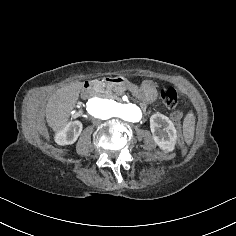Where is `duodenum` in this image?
<instances>
[{"instance_id":"duodenum-1","label":"duodenum","mask_w":236,"mask_h":236,"mask_svg":"<svg viewBox=\"0 0 236 236\" xmlns=\"http://www.w3.org/2000/svg\"><path fill=\"white\" fill-rule=\"evenodd\" d=\"M100 82L114 85L122 84L123 78L121 76H107L103 77L101 80L86 81L82 86V94L84 96L88 95L92 91L93 87Z\"/></svg>"}]
</instances>
